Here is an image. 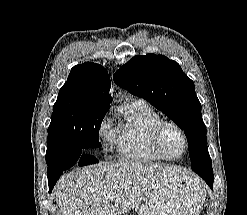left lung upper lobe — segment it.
<instances>
[{
	"mask_svg": "<svg viewBox=\"0 0 247 215\" xmlns=\"http://www.w3.org/2000/svg\"><path fill=\"white\" fill-rule=\"evenodd\" d=\"M114 82L165 113L185 133L192 167L208 157L206 126L194 82L163 55L135 56L113 75Z\"/></svg>",
	"mask_w": 247,
	"mask_h": 215,
	"instance_id": "5c2ea615",
	"label": "left lung upper lobe"
}]
</instances>
